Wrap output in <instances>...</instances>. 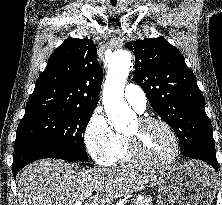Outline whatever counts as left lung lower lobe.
Instances as JSON below:
<instances>
[{"label":"left lung lower lobe","instance_id":"left-lung-lower-lobe-1","mask_svg":"<svg viewBox=\"0 0 222 205\" xmlns=\"http://www.w3.org/2000/svg\"><path fill=\"white\" fill-rule=\"evenodd\" d=\"M185 157H189L191 159L200 160L202 162H205V163L211 165L215 169V171H218V162H217L216 158L205 157V156H201V155H197V154L185 155Z\"/></svg>","mask_w":222,"mask_h":205}]
</instances>
